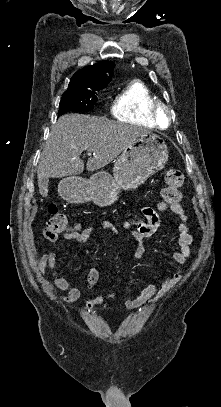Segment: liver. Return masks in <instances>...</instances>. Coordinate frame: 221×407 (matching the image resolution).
I'll use <instances>...</instances> for the list:
<instances>
[{
	"label": "liver",
	"instance_id": "1",
	"mask_svg": "<svg viewBox=\"0 0 221 407\" xmlns=\"http://www.w3.org/2000/svg\"><path fill=\"white\" fill-rule=\"evenodd\" d=\"M148 130L126 123L83 114H66L52 126L38 164V182L79 175L84 171L83 151L89 172L104 168Z\"/></svg>",
	"mask_w": 221,
	"mask_h": 407
}]
</instances>
